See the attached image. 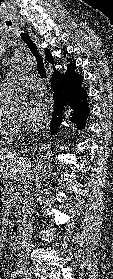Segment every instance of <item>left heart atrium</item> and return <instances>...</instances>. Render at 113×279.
<instances>
[{
	"label": "left heart atrium",
	"instance_id": "39dd6f15",
	"mask_svg": "<svg viewBox=\"0 0 113 279\" xmlns=\"http://www.w3.org/2000/svg\"><path fill=\"white\" fill-rule=\"evenodd\" d=\"M50 117V101L43 96L33 98L26 112L28 126L32 129L39 130L48 124Z\"/></svg>",
	"mask_w": 113,
	"mask_h": 279
}]
</instances>
